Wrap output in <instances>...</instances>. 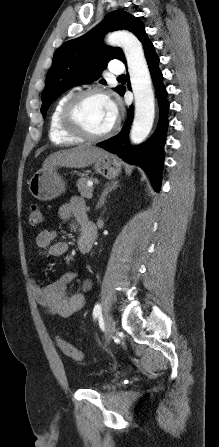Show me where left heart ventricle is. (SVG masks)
<instances>
[{
	"mask_svg": "<svg viewBox=\"0 0 219 447\" xmlns=\"http://www.w3.org/2000/svg\"><path fill=\"white\" fill-rule=\"evenodd\" d=\"M80 122L92 133L107 131L114 124L108 100L92 97L87 99L78 112Z\"/></svg>",
	"mask_w": 219,
	"mask_h": 447,
	"instance_id": "b2bd125f",
	"label": "left heart ventricle"
}]
</instances>
